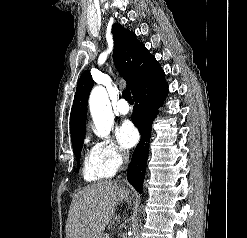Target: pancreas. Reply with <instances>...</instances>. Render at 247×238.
<instances>
[{"instance_id":"cf45deb5","label":"pancreas","mask_w":247,"mask_h":238,"mask_svg":"<svg viewBox=\"0 0 247 238\" xmlns=\"http://www.w3.org/2000/svg\"><path fill=\"white\" fill-rule=\"evenodd\" d=\"M102 238H109L108 236H104V237H102Z\"/></svg>"}]
</instances>
